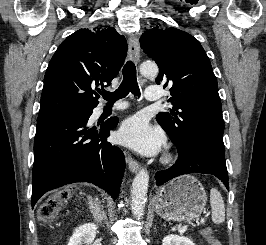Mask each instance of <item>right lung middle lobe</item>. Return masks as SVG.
<instances>
[{
	"label": "right lung middle lobe",
	"instance_id": "right-lung-middle-lobe-1",
	"mask_svg": "<svg viewBox=\"0 0 266 245\" xmlns=\"http://www.w3.org/2000/svg\"><path fill=\"white\" fill-rule=\"evenodd\" d=\"M41 123H43V122H37V125H39V124H41Z\"/></svg>",
	"mask_w": 266,
	"mask_h": 245
}]
</instances>
